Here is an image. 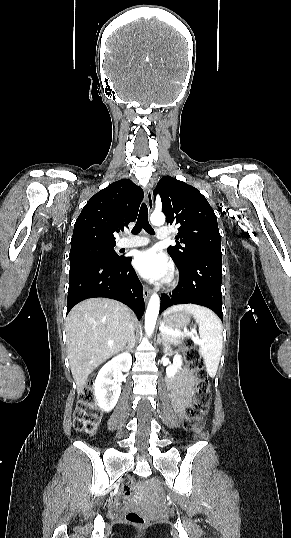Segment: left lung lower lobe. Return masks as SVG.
Here are the masks:
<instances>
[{"label":"left lung lower lobe","mask_w":291,"mask_h":538,"mask_svg":"<svg viewBox=\"0 0 291 538\" xmlns=\"http://www.w3.org/2000/svg\"><path fill=\"white\" fill-rule=\"evenodd\" d=\"M178 269L180 283L172 293L161 296L160 313L177 304H197L210 308L223 321L222 256H197Z\"/></svg>","instance_id":"0a47b994"}]
</instances>
